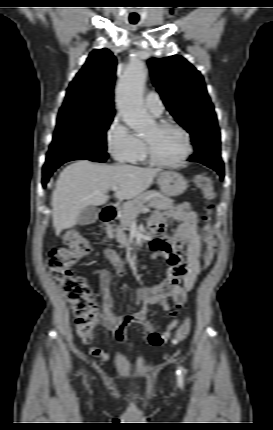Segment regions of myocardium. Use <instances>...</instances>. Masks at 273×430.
<instances>
[{"label": "myocardium", "instance_id": "f54148a6", "mask_svg": "<svg viewBox=\"0 0 273 430\" xmlns=\"http://www.w3.org/2000/svg\"><path fill=\"white\" fill-rule=\"evenodd\" d=\"M155 126L158 129L172 128V129L179 131L185 139V150H184V153L182 154V156L175 161H170V162L162 161L156 157L151 143L147 139L144 138L145 152H146V157H147L148 161L150 163H152L153 165L160 166V167H166V168L178 167V166L182 165L183 163H185V161L190 157V155L193 151L191 136H190L189 132L180 124L172 122V121H165V120L159 121L155 124Z\"/></svg>", "mask_w": 273, "mask_h": 430}]
</instances>
